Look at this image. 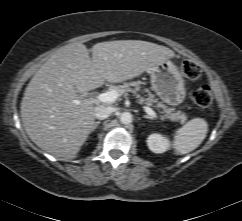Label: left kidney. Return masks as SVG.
Masks as SVG:
<instances>
[{
    "instance_id": "5707ae66",
    "label": "left kidney",
    "mask_w": 242,
    "mask_h": 221,
    "mask_svg": "<svg viewBox=\"0 0 242 221\" xmlns=\"http://www.w3.org/2000/svg\"><path fill=\"white\" fill-rule=\"evenodd\" d=\"M149 149L154 153H163L169 149V141L160 134L154 133L147 139Z\"/></svg>"
}]
</instances>
